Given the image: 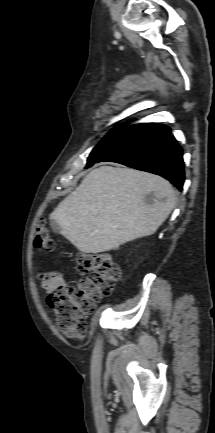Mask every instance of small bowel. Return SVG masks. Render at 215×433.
<instances>
[{
	"label": "small bowel",
	"mask_w": 215,
	"mask_h": 433,
	"mask_svg": "<svg viewBox=\"0 0 215 433\" xmlns=\"http://www.w3.org/2000/svg\"><path fill=\"white\" fill-rule=\"evenodd\" d=\"M41 284L47 293H52L67 283L64 274L57 271H49L40 275Z\"/></svg>",
	"instance_id": "c3829d8e"
}]
</instances>
